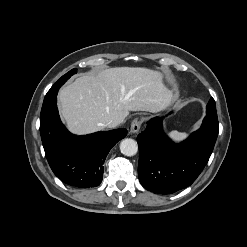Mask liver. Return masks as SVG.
Listing matches in <instances>:
<instances>
[{
  "label": "liver",
  "instance_id": "1",
  "mask_svg": "<svg viewBox=\"0 0 247 247\" xmlns=\"http://www.w3.org/2000/svg\"><path fill=\"white\" fill-rule=\"evenodd\" d=\"M158 71L116 67L77 78L58 93L68 129L85 135L105 129L111 120L123 123L131 111L158 113L174 100Z\"/></svg>",
  "mask_w": 247,
  "mask_h": 247
}]
</instances>
